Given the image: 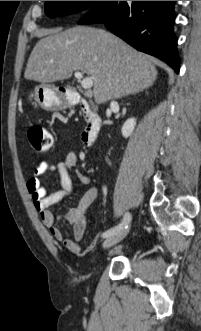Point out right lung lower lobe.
<instances>
[{
    "instance_id": "98d812e1",
    "label": "right lung lower lobe",
    "mask_w": 201,
    "mask_h": 331,
    "mask_svg": "<svg viewBox=\"0 0 201 331\" xmlns=\"http://www.w3.org/2000/svg\"><path fill=\"white\" fill-rule=\"evenodd\" d=\"M176 1H99L78 24L102 23L136 49L160 58L179 72L173 31Z\"/></svg>"
}]
</instances>
